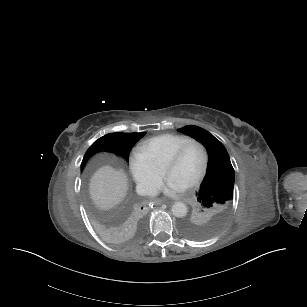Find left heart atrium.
<instances>
[{"label": "left heart atrium", "instance_id": "obj_1", "mask_svg": "<svg viewBox=\"0 0 307 307\" xmlns=\"http://www.w3.org/2000/svg\"><path fill=\"white\" fill-rule=\"evenodd\" d=\"M151 187L153 192H162L167 196H176L184 193L188 186L174 176L167 175L163 180L154 183Z\"/></svg>", "mask_w": 307, "mask_h": 307}]
</instances>
